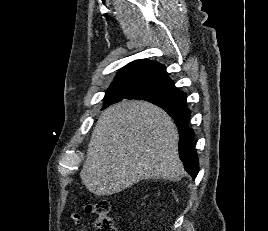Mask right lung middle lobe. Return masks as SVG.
I'll return each instance as SVG.
<instances>
[{
  "label": "right lung middle lobe",
  "mask_w": 268,
  "mask_h": 231,
  "mask_svg": "<svg viewBox=\"0 0 268 231\" xmlns=\"http://www.w3.org/2000/svg\"><path fill=\"white\" fill-rule=\"evenodd\" d=\"M130 92L137 99H151L158 101H166L173 105L186 106L185 93L177 90L176 88L160 84V83H143L132 88H109L106 92L104 101L120 94ZM104 102V103H105ZM108 105H104V108Z\"/></svg>",
  "instance_id": "1"
}]
</instances>
